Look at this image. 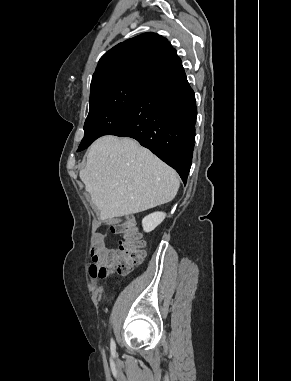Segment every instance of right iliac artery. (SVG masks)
Returning <instances> with one entry per match:
<instances>
[{"label":"right iliac artery","mask_w":291,"mask_h":381,"mask_svg":"<svg viewBox=\"0 0 291 381\" xmlns=\"http://www.w3.org/2000/svg\"><path fill=\"white\" fill-rule=\"evenodd\" d=\"M111 346H112V347H115V343H114L113 340L111 341Z\"/></svg>","instance_id":"82829eb1"}]
</instances>
